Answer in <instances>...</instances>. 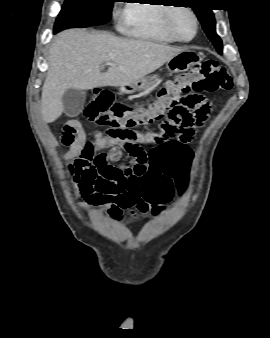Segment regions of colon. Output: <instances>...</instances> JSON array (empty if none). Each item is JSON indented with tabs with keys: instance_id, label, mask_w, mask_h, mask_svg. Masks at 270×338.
<instances>
[{
	"instance_id": "1",
	"label": "colon",
	"mask_w": 270,
	"mask_h": 338,
	"mask_svg": "<svg viewBox=\"0 0 270 338\" xmlns=\"http://www.w3.org/2000/svg\"><path fill=\"white\" fill-rule=\"evenodd\" d=\"M232 87L233 82L226 67L215 60H207L167 81L158 89L157 99L150 101L145 108L130 109L121 103L114 104L108 91L99 90L88 100L84 116L89 122L107 128L110 137L120 136L159 144L177 136L172 143L156 149V153L164 158L177 153L183 144L188 143L192 128L204 123L209 107L201 94L230 90ZM165 116L171 122L164 123L147 135L133 130L136 126L147 125ZM175 123L180 124L179 129ZM69 170L71 177L77 181L81 169L71 164ZM154 180L155 175L146 167L144 157H137L133 152L126 167H115L107 172L101 189L118 209L136 217L148 209L143 194Z\"/></svg>"
}]
</instances>
